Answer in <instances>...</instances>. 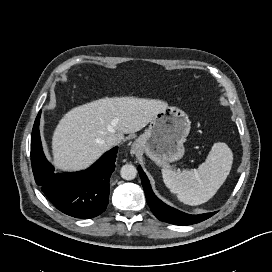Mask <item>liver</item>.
Returning a JSON list of instances; mask_svg holds the SVG:
<instances>
[{
  "instance_id": "6515ba94",
  "label": "liver",
  "mask_w": 272,
  "mask_h": 272,
  "mask_svg": "<svg viewBox=\"0 0 272 272\" xmlns=\"http://www.w3.org/2000/svg\"><path fill=\"white\" fill-rule=\"evenodd\" d=\"M156 99L104 97L77 106L59 121L52 137L53 164L65 171L89 167L108 148L106 138L143 129L153 117L167 108Z\"/></svg>"
}]
</instances>
